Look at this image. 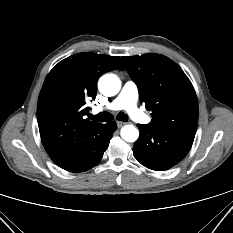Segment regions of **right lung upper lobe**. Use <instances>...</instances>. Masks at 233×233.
Here are the masks:
<instances>
[{"mask_svg": "<svg viewBox=\"0 0 233 233\" xmlns=\"http://www.w3.org/2000/svg\"><path fill=\"white\" fill-rule=\"evenodd\" d=\"M124 66L118 56L78 53L59 62L47 75L37 106L41 140L63 169L88 163L96 152L103 124L84 119L86 99H94L105 72Z\"/></svg>", "mask_w": 233, "mask_h": 233, "instance_id": "right-lung-upper-lobe-1", "label": "right lung upper lobe"}]
</instances>
